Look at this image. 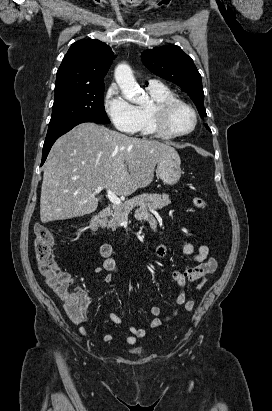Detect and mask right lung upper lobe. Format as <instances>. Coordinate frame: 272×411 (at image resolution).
Listing matches in <instances>:
<instances>
[{"instance_id":"obj_1","label":"right lung upper lobe","mask_w":272,"mask_h":411,"mask_svg":"<svg viewBox=\"0 0 272 411\" xmlns=\"http://www.w3.org/2000/svg\"><path fill=\"white\" fill-rule=\"evenodd\" d=\"M114 58L111 48L99 40L76 41L57 71L55 92L103 85Z\"/></svg>"}]
</instances>
